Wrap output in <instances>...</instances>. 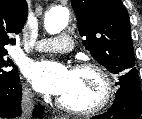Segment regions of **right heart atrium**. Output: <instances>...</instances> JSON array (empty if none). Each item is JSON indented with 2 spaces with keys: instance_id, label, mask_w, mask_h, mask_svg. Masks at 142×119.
I'll return each instance as SVG.
<instances>
[{
  "instance_id": "d8ad5b80",
  "label": "right heart atrium",
  "mask_w": 142,
  "mask_h": 119,
  "mask_svg": "<svg viewBox=\"0 0 142 119\" xmlns=\"http://www.w3.org/2000/svg\"><path fill=\"white\" fill-rule=\"evenodd\" d=\"M23 94L26 97H31L32 96V92H31L30 88H28L27 86H24V88H23Z\"/></svg>"
}]
</instances>
